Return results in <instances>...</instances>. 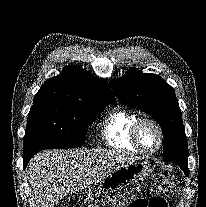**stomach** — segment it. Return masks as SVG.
Masks as SVG:
<instances>
[{
	"label": "stomach",
	"mask_w": 206,
	"mask_h": 207,
	"mask_svg": "<svg viewBox=\"0 0 206 207\" xmlns=\"http://www.w3.org/2000/svg\"><path fill=\"white\" fill-rule=\"evenodd\" d=\"M151 172L150 161L138 158L102 178L99 181L98 192L110 194L118 191L127 185L144 181Z\"/></svg>",
	"instance_id": "0dacf381"
}]
</instances>
